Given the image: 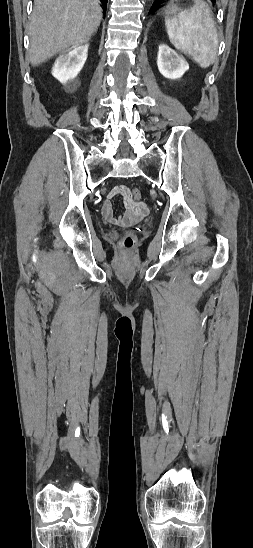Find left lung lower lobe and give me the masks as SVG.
Listing matches in <instances>:
<instances>
[{
  "instance_id": "obj_1",
  "label": "left lung lower lobe",
  "mask_w": 253,
  "mask_h": 548,
  "mask_svg": "<svg viewBox=\"0 0 253 548\" xmlns=\"http://www.w3.org/2000/svg\"><path fill=\"white\" fill-rule=\"evenodd\" d=\"M162 1H163V0H155L154 3H153V5H152L151 10H153L154 8H156V7L158 6V4H159L160 2H162ZM211 1L214 3L216 0H211Z\"/></svg>"
}]
</instances>
